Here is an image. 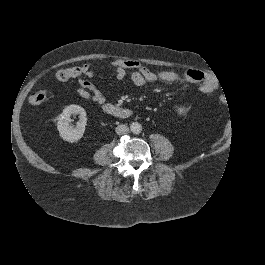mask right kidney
<instances>
[{"label": "right kidney", "mask_w": 265, "mask_h": 265, "mask_svg": "<svg viewBox=\"0 0 265 265\" xmlns=\"http://www.w3.org/2000/svg\"><path fill=\"white\" fill-rule=\"evenodd\" d=\"M79 114L76 127L70 125V116ZM87 123L86 111L78 105H69L58 117L57 128L60 136L68 142H76L82 138Z\"/></svg>", "instance_id": "1"}]
</instances>
